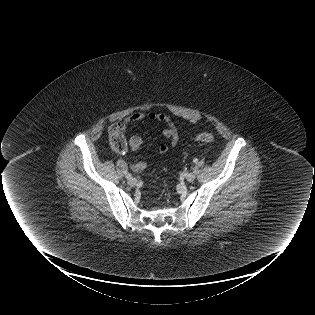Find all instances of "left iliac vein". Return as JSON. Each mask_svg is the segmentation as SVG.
<instances>
[{
  "instance_id": "4c4485c4",
  "label": "left iliac vein",
  "mask_w": 315,
  "mask_h": 315,
  "mask_svg": "<svg viewBox=\"0 0 315 315\" xmlns=\"http://www.w3.org/2000/svg\"><path fill=\"white\" fill-rule=\"evenodd\" d=\"M185 179H186L188 182H192V181H194V179H195V174L192 173V172L187 173V174L185 175Z\"/></svg>"
}]
</instances>
